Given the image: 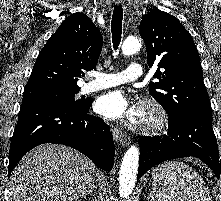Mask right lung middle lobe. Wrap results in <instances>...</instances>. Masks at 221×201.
<instances>
[{"label":"right lung middle lobe","mask_w":221,"mask_h":201,"mask_svg":"<svg viewBox=\"0 0 221 201\" xmlns=\"http://www.w3.org/2000/svg\"><path fill=\"white\" fill-rule=\"evenodd\" d=\"M80 89H61L52 87L25 88L23 100L38 99L65 104L73 107H84L89 100H75Z\"/></svg>","instance_id":"obj_1"}]
</instances>
